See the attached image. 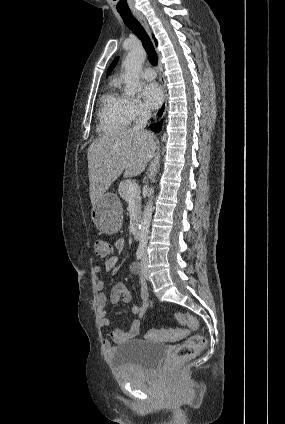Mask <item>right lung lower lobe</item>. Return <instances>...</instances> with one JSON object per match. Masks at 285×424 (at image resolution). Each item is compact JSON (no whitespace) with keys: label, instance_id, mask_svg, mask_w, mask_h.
<instances>
[{"label":"right lung lower lobe","instance_id":"1","mask_svg":"<svg viewBox=\"0 0 285 424\" xmlns=\"http://www.w3.org/2000/svg\"><path fill=\"white\" fill-rule=\"evenodd\" d=\"M151 129H152L154 132H159V131H160V129H161V124H160V123L153 124V125L151 126Z\"/></svg>","mask_w":285,"mask_h":424}]
</instances>
